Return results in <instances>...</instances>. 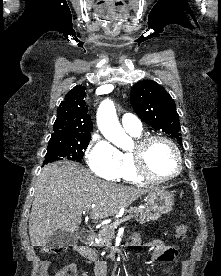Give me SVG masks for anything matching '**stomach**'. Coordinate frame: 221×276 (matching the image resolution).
<instances>
[{
    "mask_svg": "<svg viewBox=\"0 0 221 276\" xmlns=\"http://www.w3.org/2000/svg\"><path fill=\"white\" fill-rule=\"evenodd\" d=\"M147 206L156 214H165L171 211L174 205V197L165 190H152L146 197Z\"/></svg>",
    "mask_w": 221,
    "mask_h": 276,
    "instance_id": "stomach-1",
    "label": "stomach"
}]
</instances>
